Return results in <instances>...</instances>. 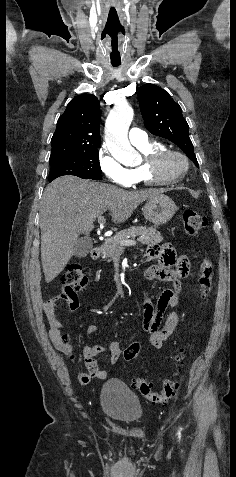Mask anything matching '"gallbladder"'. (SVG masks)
Returning a JSON list of instances; mask_svg holds the SVG:
<instances>
[{"instance_id": "bac80fb5", "label": "gallbladder", "mask_w": 236, "mask_h": 477, "mask_svg": "<svg viewBox=\"0 0 236 477\" xmlns=\"http://www.w3.org/2000/svg\"><path fill=\"white\" fill-rule=\"evenodd\" d=\"M93 247V241L90 237L84 236L78 239L75 245L74 255L77 257H84L86 256Z\"/></svg>"}]
</instances>
